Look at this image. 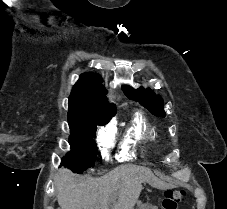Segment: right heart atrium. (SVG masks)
<instances>
[{
    "mask_svg": "<svg viewBox=\"0 0 227 209\" xmlns=\"http://www.w3.org/2000/svg\"><path fill=\"white\" fill-rule=\"evenodd\" d=\"M116 132L113 125H106L99 128L97 133V143L103 156H107L114 146Z\"/></svg>",
    "mask_w": 227,
    "mask_h": 209,
    "instance_id": "d8ad5b80",
    "label": "right heart atrium"
}]
</instances>
